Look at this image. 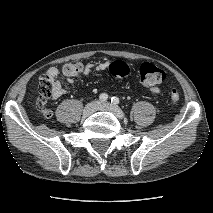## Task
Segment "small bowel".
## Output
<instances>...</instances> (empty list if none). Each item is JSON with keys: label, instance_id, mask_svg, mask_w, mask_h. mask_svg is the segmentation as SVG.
Masks as SVG:
<instances>
[{"label": "small bowel", "instance_id": "obj_1", "mask_svg": "<svg viewBox=\"0 0 213 213\" xmlns=\"http://www.w3.org/2000/svg\"><path fill=\"white\" fill-rule=\"evenodd\" d=\"M110 66H111L110 62H99L96 64L88 63L85 66V72L89 73L93 70L105 71L107 69H110ZM59 76H60V69L58 67L53 66L46 71L45 76L42 78L47 82L50 91V96L53 99H58L66 93V89L59 80ZM151 92L154 94H158L160 92V89L158 87H152Z\"/></svg>", "mask_w": 213, "mask_h": 213}]
</instances>
